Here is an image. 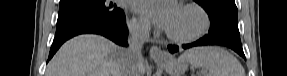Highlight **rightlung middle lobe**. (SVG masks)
<instances>
[{"label":"right lung middle lobe","instance_id":"1","mask_svg":"<svg viewBox=\"0 0 287 76\" xmlns=\"http://www.w3.org/2000/svg\"><path fill=\"white\" fill-rule=\"evenodd\" d=\"M123 16L109 0H60L56 35L84 25L113 23Z\"/></svg>","mask_w":287,"mask_h":76}]
</instances>
